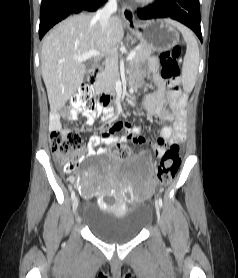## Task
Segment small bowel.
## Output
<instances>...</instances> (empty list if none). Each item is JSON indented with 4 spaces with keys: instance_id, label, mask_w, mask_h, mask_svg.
<instances>
[{
    "instance_id": "1",
    "label": "small bowel",
    "mask_w": 238,
    "mask_h": 278,
    "mask_svg": "<svg viewBox=\"0 0 238 278\" xmlns=\"http://www.w3.org/2000/svg\"><path fill=\"white\" fill-rule=\"evenodd\" d=\"M151 67L153 70L157 67L156 56H151ZM142 78L141 75H135L132 78V83L136 84ZM154 80L158 86V89L153 94L149 95L144 104L143 108L150 114L164 121H172V126H166L159 130V137L157 138H144L141 136L142 129L139 126H134L127 121H118L112 124L108 130L103 132L101 135H94L89 138L86 147L80 151L81 157L93 156L96 154L104 155L105 150L96 148L99 145H112L117 142H131L138 145L156 143L153 145L154 153L156 156L163 155L166 149H160V144L177 143L183 141L186 132V121H185V103L186 98L181 93L177 82L166 83L161 77L155 76ZM167 87V90L165 89ZM168 102L170 109L165 108V102ZM78 111L72 110L69 112L68 117L70 120L75 121L78 117ZM82 115L86 118V125L91 126L95 123L96 119L101 116L103 121H108L113 117V110L108 105L99 103L94 112L83 111ZM49 129L63 130L61 126V115L57 112L53 113L49 121ZM124 130L125 135L118 137L116 133ZM158 131L156 127H149L148 131ZM71 182H76L73 177L69 179ZM149 183L152 184L151 178L148 179Z\"/></svg>"
}]
</instances>
